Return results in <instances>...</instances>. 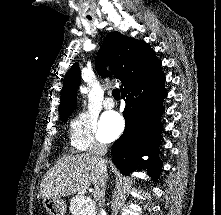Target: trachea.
<instances>
[{"mask_svg": "<svg viewBox=\"0 0 221 215\" xmlns=\"http://www.w3.org/2000/svg\"><path fill=\"white\" fill-rule=\"evenodd\" d=\"M112 95H113V97H114L116 100L120 99V90L117 89V88L114 89L113 92H112Z\"/></svg>", "mask_w": 221, "mask_h": 215, "instance_id": "obj_1", "label": "trachea"}]
</instances>
